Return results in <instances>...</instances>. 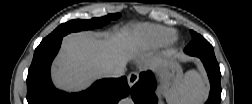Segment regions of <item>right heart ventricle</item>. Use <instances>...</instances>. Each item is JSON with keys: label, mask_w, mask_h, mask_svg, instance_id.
<instances>
[{"label": "right heart ventricle", "mask_w": 252, "mask_h": 104, "mask_svg": "<svg viewBox=\"0 0 252 104\" xmlns=\"http://www.w3.org/2000/svg\"><path fill=\"white\" fill-rule=\"evenodd\" d=\"M137 33L141 39L154 46L168 44L176 38L175 30L155 25L142 26Z\"/></svg>", "instance_id": "right-heart-ventricle-1"}]
</instances>
